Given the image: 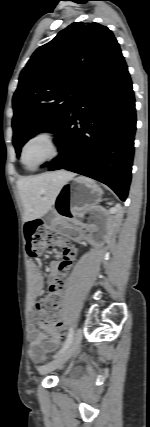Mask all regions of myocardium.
Returning a JSON list of instances; mask_svg holds the SVG:
<instances>
[{"instance_id": "1", "label": "myocardium", "mask_w": 150, "mask_h": 427, "mask_svg": "<svg viewBox=\"0 0 150 427\" xmlns=\"http://www.w3.org/2000/svg\"><path fill=\"white\" fill-rule=\"evenodd\" d=\"M37 140H45L51 147V153L50 155H48L46 158L39 161L34 166L29 167L26 165L24 160L25 152L28 146ZM60 153H61V143H60L58 134L52 130L42 129L34 132L23 143L20 151V163L22 164L24 169H26L27 171H35L41 168L42 166H44L45 164L51 162L55 158H57L60 155Z\"/></svg>"}]
</instances>
